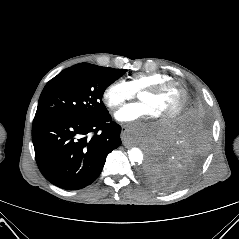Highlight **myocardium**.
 Returning <instances> with one entry per match:
<instances>
[{
  "instance_id": "obj_1",
  "label": "myocardium",
  "mask_w": 239,
  "mask_h": 239,
  "mask_svg": "<svg viewBox=\"0 0 239 239\" xmlns=\"http://www.w3.org/2000/svg\"><path fill=\"white\" fill-rule=\"evenodd\" d=\"M169 88H175L179 92L180 102H179L178 107L173 112L169 113L168 115H166L163 118V120H166V121L172 120V119L178 117L183 112V110L186 106V103H187V99H188V94H187L186 89L180 83H178L174 80H168V81H164V82L158 83L156 85L147 87V88L143 89L139 94V96L144 93L158 95Z\"/></svg>"
}]
</instances>
